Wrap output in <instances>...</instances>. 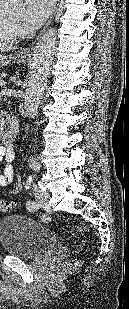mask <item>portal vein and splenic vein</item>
Instances as JSON below:
<instances>
[{"instance_id":"18ae733b","label":"portal vein and splenic vein","mask_w":129,"mask_h":309,"mask_svg":"<svg viewBox=\"0 0 129 309\" xmlns=\"http://www.w3.org/2000/svg\"><path fill=\"white\" fill-rule=\"evenodd\" d=\"M0 86H6V82L5 81L0 82Z\"/></svg>"}]
</instances>
